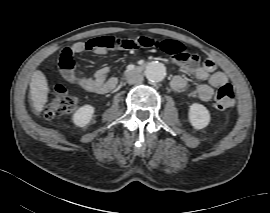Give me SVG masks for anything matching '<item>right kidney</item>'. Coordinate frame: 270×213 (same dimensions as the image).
Wrapping results in <instances>:
<instances>
[{
    "label": "right kidney",
    "instance_id": "right-kidney-1",
    "mask_svg": "<svg viewBox=\"0 0 270 213\" xmlns=\"http://www.w3.org/2000/svg\"><path fill=\"white\" fill-rule=\"evenodd\" d=\"M93 114L94 107L91 105H84L74 113L73 122L79 127H84L90 122Z\"/></svg>",
    "mask_w": 270,
    "mask_h": 213
}]
</instances>
